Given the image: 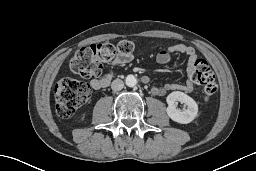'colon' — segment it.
Listing matches in <instances>:
<instances>
[{"instance_id":"obj_1","label":"colon","mask_w":256,"mask_h":171,"mask_svg":"<svg viewBox=\"0 0 256 171\" xmlns=\"http://www.w3.org/2000/svg\"><path fill=\"white\" fill-rule=\"evenodd\" d=\"M134 49L132 42L124 40L116 44L104 43L79 49L70 60V69L83 77L100 75L103 63L113 61L118 55H129ZM192 81L203 90L208 101L217 91L215 74L202 59H198L191 73ZM56 109L60 116L70 117L90 97V87L71 77L62 78L55 87Z\"/></svg>"}]
</instances>
